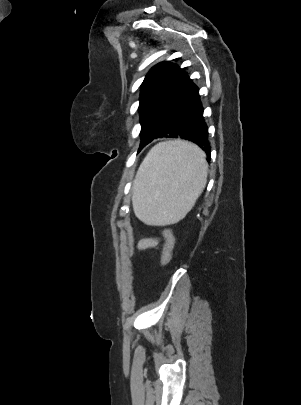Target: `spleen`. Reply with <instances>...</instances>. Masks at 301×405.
<instances>
[{"label": "spleen", "mask_w": 301, "mask_h": 405, "mask_svg": "<svg viewBox=\"0 0 301 405\" xmlns=\"http://www.w3.org/2000/svg\"><path fill=\"white\" fill-rule=\"evenodd\" d=\"M204 152L182 140L156 144L141 163L133 186L135 215L147 225H169L192 209L206 184Z\"/></svg>", "instance_id": "1"}]
</instances>
